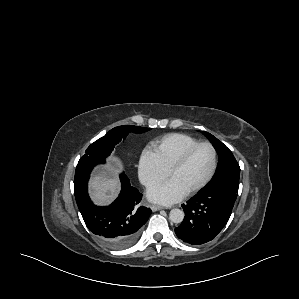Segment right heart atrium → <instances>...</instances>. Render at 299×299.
Listing matches in <instances>:
<instances>
[{"instance_id": "obj_1", "label": "right heart atrium", "mask_w": 299, "mask_h": 299, "mask_svg": "<svg viewBox=\"0 0 299 299\" xmlns=\"http://www.w3.org/2000/svg\"><path fill=\"white\" fill-rule=\"evenodd\" d=\"M138 176L140 182L147 188L163 182L168 177V171L161 165L153 151H142L138 161Z\"/></svg>"}]
</instances>
